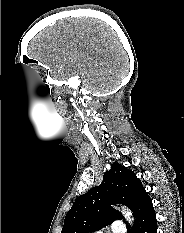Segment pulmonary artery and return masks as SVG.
<instances>
[{"label": "pulmonary artery", "mask_w": 184, "mask_h": 233, "mask_svg": "<svg viewBox=\"0 0 184 233\" xmlns=\"http://www.w3.org/2000/svg\"><path fill=\"white\" fill-rule=\"evenodd\" d=\"M107 231H97L96 233H106ZM111 233H126V228L123 222L121 221H115L111 228H110Z\"/></svg>", "instance_id": "pulmonary-artery-1"}]
</instances>
